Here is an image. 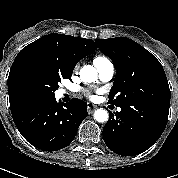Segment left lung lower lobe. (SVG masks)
Masks as SVG:
<instances>
[{"label":"left lung lower lobe","instance_id":"0a47b994","mask_svg":"<svg viewBox=\"0 0 178 178\" xmlns=\"http://www.w3.org/2000/svg\"><path fill=\"white\" fill-rule=\"evenodd\" d=\"M168 119L121 107L111 113L103 128L107 147L123 156H134L149 149L163 133Z\"/></svg>","mask_w":178,"mask_h":178}]
</instances>
